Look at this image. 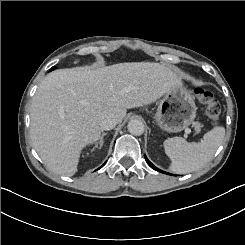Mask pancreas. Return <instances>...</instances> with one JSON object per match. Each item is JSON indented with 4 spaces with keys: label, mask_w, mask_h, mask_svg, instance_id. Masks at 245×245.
Listing matches in <instances>:
<instances>
[{
    "label": "pancreas",
    "mask_w": 245,
    "mask_h": 245,
    "mask_svg": "<svg viewBox=\"0 0 245 245\" xmlns=\"http://www.w3.org/2000/svg\"><path fill=\"white\" fill-rule=\"evenodd\" d=\"M192 127H194L196 133H199L201 131L202 125L199 122H193Z\"/></svg>",
    "instance_id": "pancreas-1"
}]
</instances>
